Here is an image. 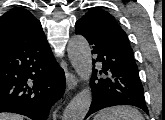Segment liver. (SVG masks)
<instances>
[{
    "mask_svg": "<svg viewBox=\"0 0 165 120\" xmlns=\"http://www.w3.org/2000/svg\"><path fill=\"white\" fill-rule=\"evenodd\" d=\"M0 120H23V117L16 114L0 113Z\"/></svg>",
    "mask_w": 165,
    "mask_h": 120,
    "instance_id": "6515ba94",
    "label": "liver"
}]
</instances>
